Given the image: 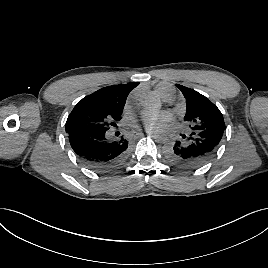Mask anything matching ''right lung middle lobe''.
<instances>
[{"instance_id": "right-lung-middle-lobe-1", "label": "right lung middle lobe", "mask_w": 268, "mask_h": 268, "mask_svg": "<svg viewBox=\"0 0 268 268\" xmlns=\"http://www.w3.org/2000/svg\"><path fill=\"white\" fill-rule=\"evenodd\" d=\"M123 108L104 106L97 102H78L66 122V132H100L121 119Z\"/></svg>"}]
</instances>
